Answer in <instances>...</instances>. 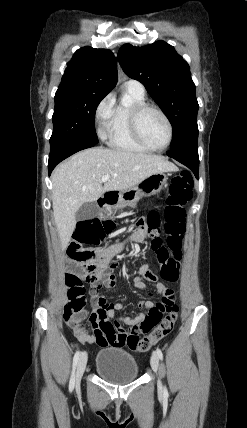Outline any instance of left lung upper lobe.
<instances>
[{"label": "left lung upper lobe", "instance_id": "obj_1", "mask_svg": "<svg viewBox=\"0 0 247 428\" xmlns=\"http://www.w3.org/2000/svg\"><path fill=\"white\" fill-rule=\"evenodd\" d=\"M118 60L127 76L140 81L168 116L173 129L171 150L196 148L198 102L186 61L174 47L157 41L143 47L124 44Z\"/></svg>", "mask_w": 247, "mask_h": 428}]
</instances>
